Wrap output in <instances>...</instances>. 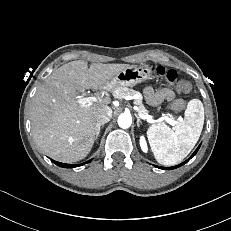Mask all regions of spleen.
Returning a JSON list of instances; mask_svg holds the SVG:
<instances>
[{
  "instance_id": "obj_1",
  "label": "spleen",
  "mask_w": 231,
  "mask_h": 231,
  "mask_svg": "<svg viewBox=\"0 0 231 231\" xmlns=\"http://www.w3.org/2000/svg\"><path fill=\"white\" fill-rule=\"evenodd\" d=\"M204 124V107L199 99L187 104L184 120L174 128L165 124L152 125L147 137L158 163L172 166L181 162L194 148Z\"/></svg>"
}]
</instances>
